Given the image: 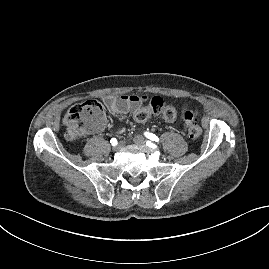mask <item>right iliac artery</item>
Returning a JSON list of instances; mask_svg holds the SVG:
<instances>
[{"instance_id": "82829eb1", "label": "right iliac artery", "mask_w": 269, "mask_h": 269, "mask_svg": "<svg viewBox=\"0 0 269 269\" xmlns=\"http://www.w3.org/2000/svg\"><path fill=\"white\" fill-rule=\"evenodd\" d=\"M110 142H111V144L113 145V146H115V145H117V140H116V138H112L111 140H110Z\"/></svg>"}]
</instances>
